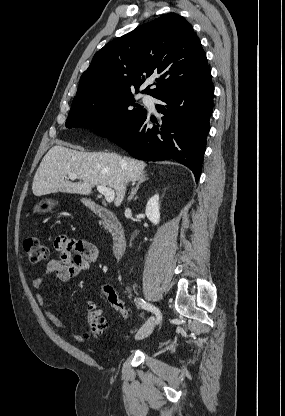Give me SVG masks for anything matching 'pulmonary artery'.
<instances>
[{
    "mask_svg": "<svg viewBox=\"0 0 285 416\" xmlns=\"http://www.w3.org/2000/svg\"><path fill=\"white\" fill-rule=\"evenodd\" d=\"M142 100L149 108L154 109L155 107L154 99L151 96L143 95Z\"/></svg>",
    "mask_w": 285,
    "mask_h": 416,
    "instance_id": "obj_1",
    "label": "pulmonary artery"
}]
</instances>
